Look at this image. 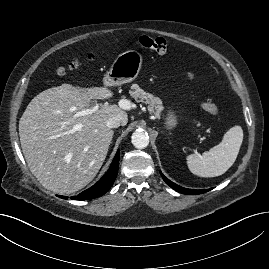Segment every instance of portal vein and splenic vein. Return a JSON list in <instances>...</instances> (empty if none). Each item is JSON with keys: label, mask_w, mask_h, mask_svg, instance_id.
Segmentation results:
<instances>
[{"label": "portal vein and splenic vein", "mask_w": 269, "mask_h": 269, "mask_svg": "<svg viewBox=\"0 0 269 269\" xmlns=\"http://www.w3.org/2000/svg\"><path fill=\"white\" fill-rule=\"evenodd\" d=\"M99 109V105H95L94 107H92L91 109H84L82 111H79L76 116H85V115H90L93 114L94 112H96Z\"/></svg>", "instance_id": "18ae733b"}]
</instances>
